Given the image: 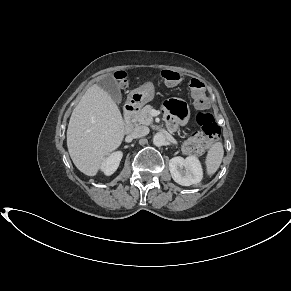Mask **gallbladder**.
<instances>
[{"instance_id":"gallbladder-1","label":"gallbladder","mask_w":291,"mask_h":291,"mask_svg":"<svg viewBox=\"0 0 291 291\" xmlns=\"http://www.w3.org/2000/svg\"><path fill=\"white\" fill-rule=\"evenodd\" d=\"M97 85L106 91L110 97L116 102L121 103L122 95L119 84L113 74L103 75L98 81Z\"/></svg>"}]
</instances>
